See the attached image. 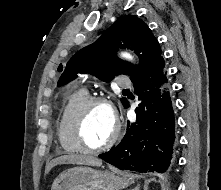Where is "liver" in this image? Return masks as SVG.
Segmentation results:
<instances>
[{"mask_svg":"<svg viewBox=\"0 0 221 190\" xmlns=\"http://www.w3.org/2000/svg\"><path fill=\"white\" fill-rule=\"evenodd\" d=\"M63 164L91 165L99 167L102 165V160L92 155H82V154L62 155L50 161L46 165L45 171L46 173H49L53 167Z\"/></svg>","mask_w":221,"mask_h":190,"instance_id":"6515ba94","label":"liver"}]
</instances>
